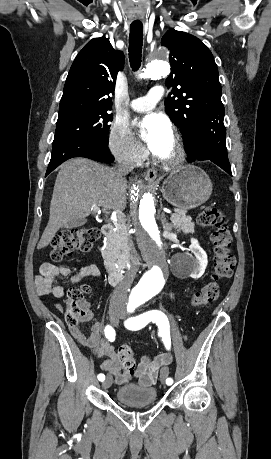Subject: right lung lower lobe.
<instances>
[{"mask_svg":"<svg viewBox=\"0 0 271 459\" xmlns=\"http://www.w3.org/2000/svg\"><path fill=\"white\" fill-rule=\"evenodd\" d=\"M73 157H85L105 163L114 161L107 147V142L90 139H72L53 146L51 160L45 176L61 163Z\"/></svg>","mask_w":271,"mask_h":459,"instance_id":"right-lung-lower-lobe-1","label":"right lung lower lobe"}]
</instances>
